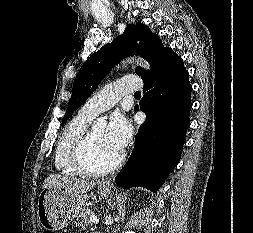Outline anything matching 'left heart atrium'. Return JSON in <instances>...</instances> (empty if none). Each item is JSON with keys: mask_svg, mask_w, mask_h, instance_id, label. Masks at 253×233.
<instances>
[{"mask_svg": "<svg viewBox=\"0 0 253 233\" xmlns=\"http://www.w3.org/2000/svg\"><path fill=\"white\" fill-rule=\"evenodd\" d=\"M132 133L130 122L121 114H114L105 129V140L115 150L121 151Z\"/></svg>", "mask_w": 253, "mask_h": 233, "instance_id": "1", "label": "left heart atrium"}]
</instances>
